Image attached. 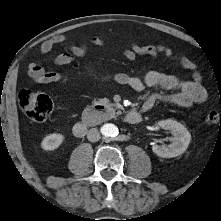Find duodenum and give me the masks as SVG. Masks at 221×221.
<instances>
[{"mask_svg":"<svg viewBox=\"0 0 221 221\" xmlns=\"http://www.w3.org/2000/svg\"><path fill=\"white\" fill-rule=\"evenodd\" d=\"M142 119V115L138 111H129L125 114L124 120L128 124H138ZM88 123L84 121L76 122L73 126V134L77 138H83L87 134Z\"/></svg>","mask_w":221,"mask_h":221,"instance_id":"duodenum-1","label":"duodenum"}]
</instances>
